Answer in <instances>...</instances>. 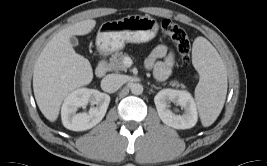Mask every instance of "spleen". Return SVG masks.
Here are the masks:
<instances>
[{
  "instance_id": "1",
  "label": "spleen",
  "mask_w": 267,
  "mask_h": 166,
  "mask_svg": "<svg viewBox=\"0 0 267 166\" xmlns=\"http://www.w3.org/2000/svg\"><path fill=\"white\" fill-rule=\"evenodd\" d=\"M192 63L200 80L195 88V100L204 127L212 125L225 103L227 73L216 49L203 37L195 39Z\"/></svg>"
}]
</instances>
